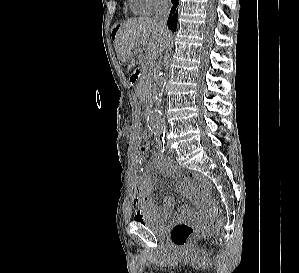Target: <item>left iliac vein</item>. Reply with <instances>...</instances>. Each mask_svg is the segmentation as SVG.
<instances>
[{"mask_svg": "<svg viewBox=\"0 0 299 273\" xmlns=\"http://www.w3.org/2000/svg\"><path fill=\"white\" fill-rule=\"evenodd\" d=\"M169 153H173V150L170 148L169 144L166 145Z\"/></svg>", "mask_w": 299, "mask_h": 273, "instance_id": "1", "label": "left iliac vein"}]
</instances>
